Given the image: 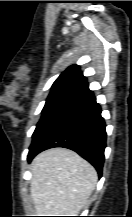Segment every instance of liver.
Listing matches in <instances>:
<instances>
[{"label":"liver","mask_w":132,"mask_h":217,"mask_svg":"<svg viewBox=\"0 0 132 217\" xmlns=\"http://www.w3.org/2000/svg\"><path fill=\"white\" fill-rule=\"evenodd\" d=\"M30 195L39 216H77L98 180L95 168L76 152L52 148L31 162Z\"/></svg>","instance_id":"liver-1"}]
</instances>
